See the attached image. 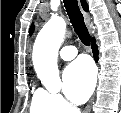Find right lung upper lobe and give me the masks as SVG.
Returning <instances> with one entry per match:
<instances>
[{
  "mask_svg": "<svg viewBox=\"0 0 121 113\" xmlns=\"http://www.w3.org/2000/svg\"><path fill=\"white\" fill-rule=\"evenodd\" d=\"M81 3H82V6L84 8V10H87V3L85 0H81ZM33 30H34V26L32 25L31 28H30V33H33Z\"/></svg>",
  "mask_w": 121,
  "mask_h": 113,
  "instance_id": "right-lung-upper-lobe-1",
  "label": "right lung upper lobe"
}]
</instances>
